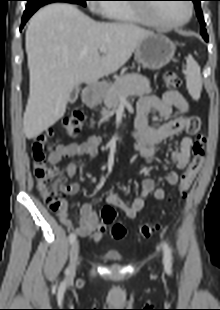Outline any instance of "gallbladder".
Segmentation results:
<instances>
[{"instance_id":"1","label":"gallbladder","mask_w":220,"mask_h":310,"mask_svg":"<svg viewBox=\"0 0 220 310\" xmlns=\"http://www.w3.org/2000/svg\"><path fill=\"white\" fill-rule=\"evenodd\" d=\"M78 94H79V87H74L71 94H70V97H69V102L71 104L75 103L77 98H78Z\"/></svg>"}]
</instances>
